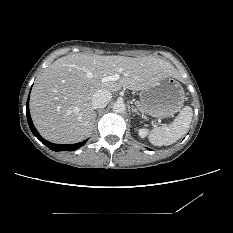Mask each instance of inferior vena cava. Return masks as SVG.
<instances>
[{
    "instance_id": "inferior-vena-cava-1",
    "label": "inferior vena cava",
    "mask_w": 233,
    "mask_h": 233,
    "mask_svg": "<svg viewBox=\"0 0 233 233\" xmlns=\"http://www.w3.org/2000/svg\"><path fill=\"white\" fill-rule=\"evenodd\" d=\"M112 98L110 91L106 89H100L96 91L91 98L92 107L94 109H101L107 106Z\"/></svg>"
}]
</instances>
